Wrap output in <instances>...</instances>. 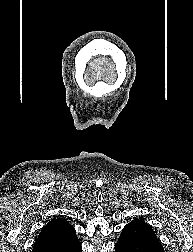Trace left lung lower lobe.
Segmentation results:
<instances>
[{
  "label": "left lung lower lobe",
  "mask_w": 193,
  "mask_h": 252,
  "mask_svg": "<svg viewBox=\"0 0 193 252\" xmlns=\"http://www.w3.org/2000/svg\"><path fill=\"white\" fill-rule=\"evenodd\" d=\"M115 252H164V249L147 223L132 222L122 230Z\"/></svg>",
  "instance_id": "1"
}]
</instances>
